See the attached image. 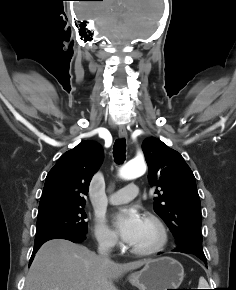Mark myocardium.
<instances>
[{"instance_id":"1","label":"myocardium","mask_w":236,"mask_h":290,"mask_svg":"<svg viewBox=\"0 0 236 290\" xmlns=\"http://www.w3.org/2000/svg\"><path fill=\"white\" fill-rule=\"evenodd\" d=\"M143 220L151 224L157 232V239L151 246L148 247H129L131 253L138 256H151L160 252L168 241V232L163 221L155 214L146 212L143 215Z\"/></svg>"}]
</instances>
